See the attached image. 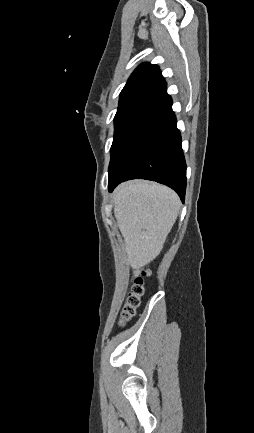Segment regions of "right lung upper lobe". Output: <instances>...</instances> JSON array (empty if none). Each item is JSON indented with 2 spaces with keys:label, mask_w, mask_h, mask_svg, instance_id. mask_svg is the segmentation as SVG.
Returning a JSON list of instances; mask_svg holds the SVG:
<instances>
[{
  "label": "right lung upper lobe",
  "mask_w": 254,
  "mask_h": 433,
  "mask_svg": "<svg viewBox=\"0 0 254 433\" xmlns=\"http://www.w3.org/2000/svg\"><path fill=\"white\" fill-rule=\"evenodd\" d=\"M166 88L157 65L143 63L132 73L120 93L119 105L145 104Z\"/></svg>",
  "instance_id": "1"
}]
</instances>
